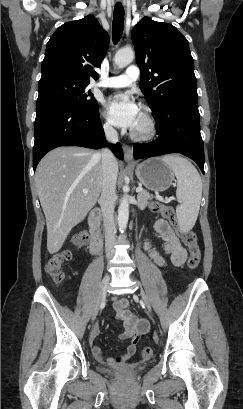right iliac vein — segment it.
Wrapping results in <instances>:
<instances>
[{
  "label": "right iliac vein",
  "mask_w": 243,
  "mask_h": 409,
  "mask_svg": "<svg viewBox=\"0 0 243 409\" xmlns=\"http://www.w3.org/2000/svg\"><path fill=\"white\" fill-rule=\"evenodd\" d=\"M109 279H110L109 275L106 274V275L104 276L103 280H102V283H101V286H100V290H99V294H98V297H97V301H96V303H95V306H94L93 312H92V321L95 320V318H96V316H97V314H98V311H99L101 302L103 301V299H104L105 296H106V291H107Z\"/></svg>",
  "instance_id": "63e3f726"
}]
</instances>
